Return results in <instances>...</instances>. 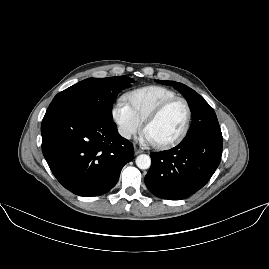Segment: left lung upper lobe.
I'll use <instances>...</instances> for the list:
<instances>
[{
    "instance_id": "obj_1",
    "label": "left lung upper lobe",
    "mask_w": 269,
    "mask_h": 269,
    "mask_svg": "<svg viewBox=\"0 0 269 269\" xmlns=\"http://www.w3.org/2000/svg\"><path fill=\"white\" fill-rule=\"evenodd\" d=\"M165 85H174L188 100L192 112V123L187 135L182 141H190L196 137L208 134L221 135L220 126L212 107L194 90L182 83L157 80Z\"/></svg>"
}]
</instances>
